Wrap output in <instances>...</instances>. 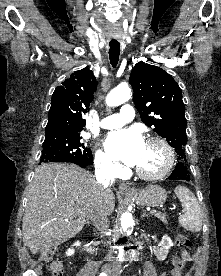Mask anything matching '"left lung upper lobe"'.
I'll list each match as a JSON object with an SVG mask.
<instances>
[{
	"instance_id": "5c2ea615",
	"label": "left lung upper lobe",
	"mask_w": 221,
	"mask_h": 276,
	"mask_svg": "<svg viewBox=\"0 0 221 276\" xmlns=\"http://www.w3.org/2000/svg\"><path fill=\"white\" fill-rule=\"evenodd\" d=\"M134 102L141 120L186 160V118L182 92L171 75L163 69L137 63L130 74Z\"/></svg>"
}]
</instances>
